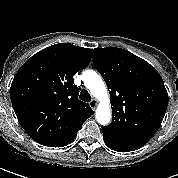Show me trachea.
<instances>
[{"instance_id": "1", "label": "trachea", "mask_w": 178, "mask_h": 178, "mask_svg": "<svg viewBox=\"0 0 178 178\" xmlns=\"http://www.w3.org/2000/svg\"><path fill=\"white\" fill-rule=\"evenodd\" d=\"M79 98L84 101V102H90L91 101V96L90 94L88 93L87 90L83 89L80 93V96Z\"/></svg>"}]
</instances>
